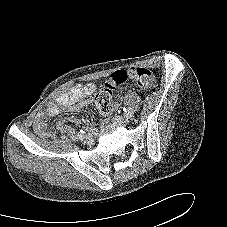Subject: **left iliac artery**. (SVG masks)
Segmentation results:
<instances>
[{"label": "left iliac artery", "mask_w": 227, "mask_h": 227, "mask_svg": "<svg viewBox=\"0 0 227 227\" xmlns=\"http://www.w3.org/2000/svg\"><path fill=\"white\" fill-rule=\"evenodd\" d=\"M125 112V116H132L134 114V111L132 108H123Z\"/></svg>", "instance_id": "left-iliac-artery-1"}]
</instances>
